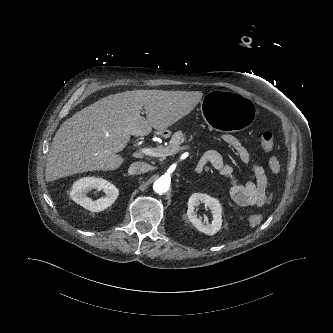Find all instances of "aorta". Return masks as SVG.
Masks as SVG:
<instances>
[{"label": "aorta", "instance_id": "aorta-1", "mask_svg": "<svg viewBox=\"0 0 333 333\" xmlns=\"http://www.w3.org/2000/svg\"><path fill=\"white\" fill-rule=\"evenodd\" d=\"M170 188V180L166 177H160L153 184V189L156 193L162 195Z\"/></svg>", "mask_w": 333, "mask_h": 333}]
</instances>
